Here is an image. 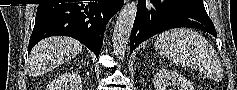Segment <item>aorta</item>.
Listing matches in <instances>:
<instances>
[{"mask_svg":"<svg viewBox=\"0 0 237 90\" xmlns=\"http://www.w3.org/2000/svg\"><path fill=\"white\" fill-rule=\"evenodd\" d=\"M138 2L132 0L126 4L119 12L116 24L113 30L112 46L113 54L119 60H122L127 50V44L130 40L132 28L134 26L135 18L137 16Z\"/></svg>","mask_w":237,"mask_h":90,"instance_id":"aorta-1","label":"aorta"}]
</instances>
